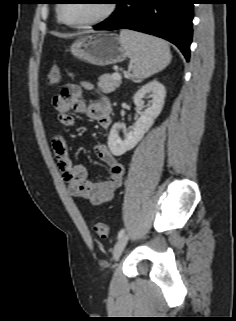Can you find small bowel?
<instances>
[{"label": "small bowel", "mask_w": 236, "mask_h": 321, "mask_svg": "<svg viewBox=\"0 0 236 321\" xmlns=\"http://www.w3.org/2000/svg\"><path fill=\"white\" fill-rule=\"evenodd\" d=\"M83 89L95 91L100 95V100L85 102L82 97ZM52 105L59 122L64 126L72 127L77 124L71 112L84 114L89 119L97 121L102 129H108L111 126L107 99L89 82L67 84L60 94L53 97ZM52 148L58 167L68 182L73 196L88 199L94 205L104 204L113 198L116 190L121 186L124 166L105 145L98 144L94 148L96 156L109 168L107 179L100 182L88 180L85 165L72 162L67 143L61 135H55L52 138Z\"/></svg>", "instance_id": "1"}]
</instances>
